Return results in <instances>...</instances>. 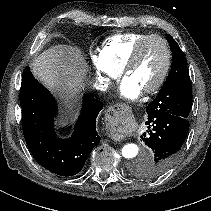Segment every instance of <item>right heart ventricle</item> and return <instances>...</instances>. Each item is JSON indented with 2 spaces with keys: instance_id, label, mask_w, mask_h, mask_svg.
<instances>
[{
  "instance_id": "1",
  "label": "right heart ventricle",
  "mask_w": 211,
  "mask_h": 211,
  "mask_svg": "<svg viewBox=\"0 0 211 211\" xmlns=\"http://www.w3.org/2000/svg\"><path fill=\"white\" fill-rule=\"evenodd\" d=\"M146 35L142 32L113 35L103 42L100 53L110 65L122 69L135 45Z\"/></svg>"
}]
</instances>
